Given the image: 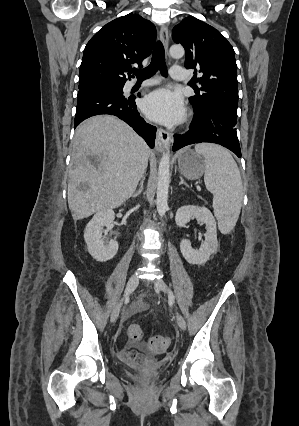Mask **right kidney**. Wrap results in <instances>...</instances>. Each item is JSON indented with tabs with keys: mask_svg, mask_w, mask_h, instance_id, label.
<instances>
[{
	"mask_svg": "<svg viewBox=\"0 0 299 426\" xmlns=\"http://www.w3.org/2000/svg\"><path fill=\"white\" fill-rule=\"evenodd\" d=\"M115 213L112 209L97 212L84 231V239L90 255L99 262H106L112 259L119 248L116 240L105 242L102 237V230L106 224L113 222Z\"/></svg>",
	"mask_w": 299,
	"mask_h": 426,
	"instance_id": "1",
	"label": "right kidney"
}]
</instances>
